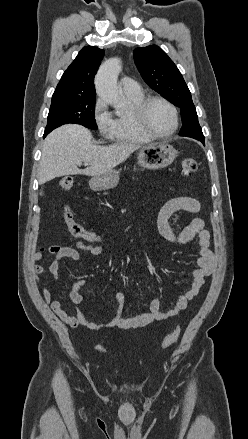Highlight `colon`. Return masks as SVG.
I'll return each mask as SVG.
<instances>
[{
	"label": "colon",
	"mask_w": 248,
	"mask_h": 439,
	"mask_svg": "<svg viewBox=\"0 0 248 439\" xmlns=\"http://www.w3.org/2000/svg\"><path fill=\"white\" fill-rule=\"evenodd\" d=\"M197 169V163L193 158H184L182 160V172L184 175H190ZM59 186L64 191H69L73 187V179L70 177H64L59 181ZM63 219L66 223L70 233L77 237L81 238L87 243L93 245H99L104 242V238L91 230L86 229L81 223L75 220L71 210L69 208H65L63 211ZM181 334V328L176 327L172 332L166 335L161 342V349H166L173 345ZM97 350L100 352H106L103 346H97Z\"/></svg>",
	"instance_id": "colon-1"
}]
</instances>
